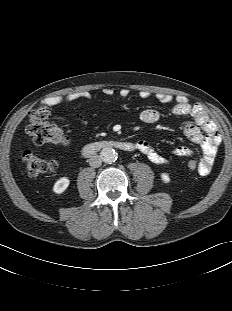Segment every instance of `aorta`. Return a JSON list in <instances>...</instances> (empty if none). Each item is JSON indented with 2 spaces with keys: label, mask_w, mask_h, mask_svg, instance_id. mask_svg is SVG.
<instances>
[{
  "label": "aorta",
  "mask_w": 232,
  "mask_h": 311,
  "mask_svg": "<svg viewBox=\"0 0 232 311\" xmlns=\"http://www.w3.org/2000/svg\"><path fill=\"white\" fill-rule=\"evenodd\" d=\"M102 160L107 164H112L118 158V154L112 147H105L101 150Z\"/></svg>",
  "instance_id": "aorta-1"
}]
</instances>
